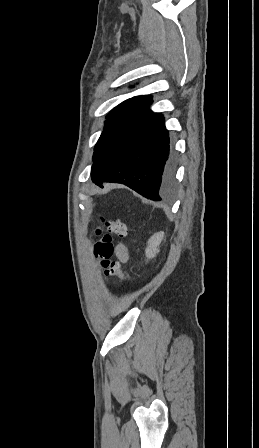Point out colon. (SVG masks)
Returning a JSON list of instances; mask_svg holds the SVG:
<instances>
[{
	"label": "colon",
	"instance_id": "1",
	"mask_svg": "<svg viewBox=\"0 0 259 448\" xmlns=\"http://www.w3.org/2000/svg\"><path fill=\"white\" fill-rule=\"evenodd\" d=\"M103 224L102 229L96 230L99 239L94 246V256L105 274L114 275L124 280L126 274L121 268L120 262L111 259L114 253L112 236L125 237L128 233V227L120 220H103Z\"/></svg>",
	"mask_w": 259,
	"mask_h": 448
}]
</instances>
